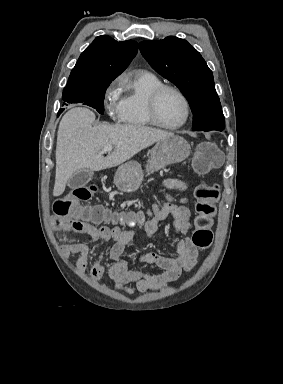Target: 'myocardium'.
<instances>
[{"label":"myocardium","instance_id":"1","mask_svg":"<svg viewBox=\"0 0 283 384\" xmlns=\"http://www.w3.org/2000/svg\"><path fill=\"white\" fill-rule=\"evenodd\" d=\"M166 91H171V92L175 93L176 95H178L180 97V99L182 100V102L184 104V108H185V116H184L183 121L177 125H174V126H166V125L162 124L159 121L157 114H156V107H157L158 100L161 97V95ZM145 113H146V116H147L149 122L153 126L160 128V129H163V130L175 131V130L181 129L182 127H184L187 124V122L190 118V105H189V101H188L187 97L184 95V93L182 91H180L178 88H176L174 86L164 84V85L157 87L146 99Z\"/></svg>","mask_w":283,"mask_h":384}]
</instances>
